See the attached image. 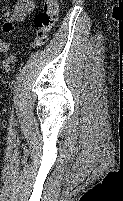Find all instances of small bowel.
<instances>
[{"label":"small bowel","mask_w":123,"mask_h":201,"mask_svg":"<svg viewBox=\"0 0 123 201\" xmlns=\"http://www.w3.org/2000/svg\"><path fill=\"white\" fill-rule=\"evenodd\" d=\"M34 9V0H17L14 7L4 13L2 30L12 33L17 22L23 21Z\"/></svg>","instance_id":"obj_1"}]
</instances>
